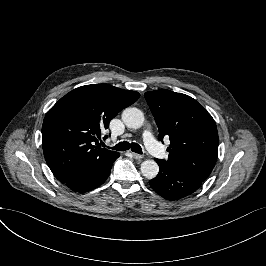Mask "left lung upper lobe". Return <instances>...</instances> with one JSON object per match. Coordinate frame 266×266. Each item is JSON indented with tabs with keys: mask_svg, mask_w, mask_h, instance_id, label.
Wrapping results in <instances>:
<instances>
[{
	"mask_svg": "<svg viewBox=\"0 0 266 266\" xmlns=\"http://www.w3.org/2000/svg\"><path fill=\"white\" fill-rule=\"evenodd\" d=\"M159 129L169 136L168 165L205 180L217 160L218 133L212 116L188 95L160 89L145 93Z\"/></svg>",
	"mask_w": 266,
	"mask_h": 266,
	"instance_id": "1",
	"label": "left lung upper lobe"
}]
</instances>
